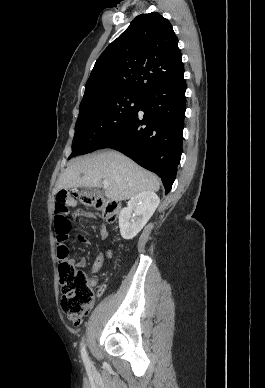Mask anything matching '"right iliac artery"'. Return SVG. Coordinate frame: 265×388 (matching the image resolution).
<instances>
[{"label":"right iliac artery","instance_id":"obj_1","mask_svg":"<svg viewBox=\"0 0 265 388\" xmlns=\"http://www.w3.org/2000/svg\"><path fill=\"white\" fill-rule=\"evenodd\" d=\"M81 355H82V359H83V362H84L85 366L86 367H90L91 366V362H90L89 357L87 355V352H86L84 344L82 345Z\"/></svg>","mask_w":265,"mask_h":388}]
</instances>
